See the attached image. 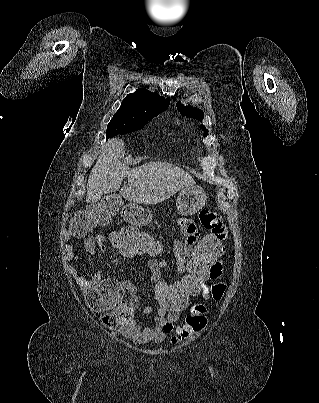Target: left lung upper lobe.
Returning a JSON list of instances; mask_svg holds the SVG:
<instances>
[{
    "mask_svg": "<svg viewBox=\"0 0 319 403\" xmlns=\"http://www.w3.org/2000/svg\"><path fill=\"white\" fill-rule=\"evenodd\" d=\"M173 99L175 100L174 97H173ZM177 109H178V111L181 112V114H182L183 116H186V117H188V118H193V119L201 120V119H203V117H204V113H203L202 110L197 109V108H194V107L191 106V105L184 106V105L181 104L180 101L177 102ZM201 128H202L203 130H205V133H206L205 136H207V135H208V130L206 129V127H205L204 125H201Z\"/></svg>",
    "mask_w": 319,
    "mask_h": 403,
    "instance_id": "left-lung-upper-lobe-1",
    "label": "left lung upper lobe"
}]
</instances>
